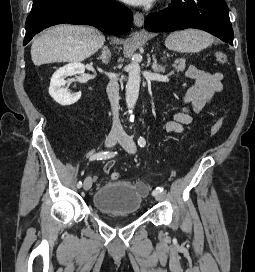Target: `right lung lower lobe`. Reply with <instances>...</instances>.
<instances>
[{"instance_id":"right-lung-lower-lobe-1","label":"right lung lower lobe","mask_w":255,"mask_h":272,"mask_svg":"<svg viewBox=\"0 0 255 272\" xmlns=\"http://www.w3.org/2000/svg\"><path fill=\"white\" fill-rule=\"evenodd\" d=\"M132 22V12L115 0H33L23 44L56 24L91 25L116 35L130 31Z\"/></svg>"}]
</instances>
